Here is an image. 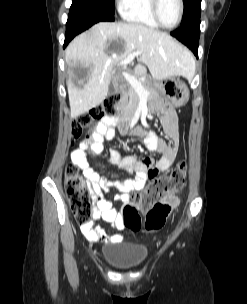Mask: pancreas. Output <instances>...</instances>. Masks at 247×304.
<instances>
[{
    "mask_svg": "<svg viewBox=\"0 0 247 304\" xmlns=\"http://www.w3.org/2000/svg\"><path fill=\"white\" fill-rule=\"evenodd\" d=\"M144 88L150 92L148 99H154L159 96V91L156 84L149 83L148 81H140ZM139 95L134 90L132 86L128 88L127 91H124L121 95L120 101L118 104L123 106V115L132 116L138 109L139 105Z\"/></svg>",
    "mask_w": 247,
    "mask_h": 304,
    "instance_id": "1",
    "label": "pancreas"
}]
</instances>
